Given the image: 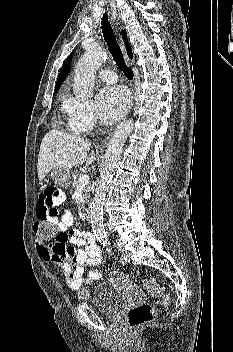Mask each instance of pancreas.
<instances>
[{
	"instance_id": "obj_1",
	"label": "pancreas",
	"mask_w": 233,
	"mask_h": 352,
	"mask_svg": "<svg viewBox=\"0 0 233 352\" xmlns=\"http://www.w3.org/2000/svg\"><path fill=\"white\" fill-rule=\"evenodd\" d=\"M79 176H80V175H79L78 171H74L73 174H72V187H73L74 189L77 188L78 185H79V182H78V177H79ZM89 191H90L89 186L84 187V193H85V195H84V202H83V204L87 203L88 200H89V196H88Z\"/></svg>"
}]
</instances>
